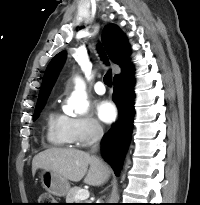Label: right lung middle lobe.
<instances>
[{"label":"right lung middle lobe","mask_w":200,"mask_h":205,"mask_svg":"<svg viewBox=\"0 0 200 205\" xmlns=\"http://www.w3.org/2000/svg\"><path fill=\"white\" fill-rule=\"evenodd\" d=\"M46 100H47V98L37 102V105H36V108H35V113L33 115L34 120L37 118L39 112L41 111V109L45 105Z\"/></svg>","instance_id":"dd1d6c3e"}]
</instances>
